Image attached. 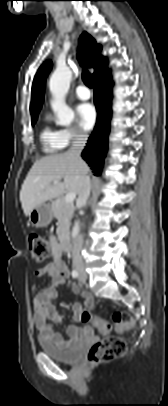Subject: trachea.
<instances>
[{"instance_id":"1","label":"trachea","mask_w":168,"mask_h":406,"mask_svg":"<svg viewBox=\"0 0 168 406\" xmlns=\"http://www.w3.org/2000/svg\"><path fill=\"white\" fill-rule=\"evenodd\" d=\"M78 60H79L80 65L83 66L80 55H78ZM82 79L86 86H88L89 88L93 87V78H92L91 74L88 72V70L83 69Z\"/></svg>"}]
</instances>
